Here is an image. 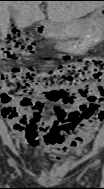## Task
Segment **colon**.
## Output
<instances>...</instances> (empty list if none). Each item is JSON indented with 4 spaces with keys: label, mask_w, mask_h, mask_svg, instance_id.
I'll return each mask as SVG.
<instances>
[{
    "label": "colon",
    "mask_w": 104,
    "mask_h": 189,
    "mask_svg": "<svg viewBox=\"0 0 104 189\" xmlns=\"http://www.w3.org/2000/svg\"><path fill=\"white\" fill-rule=\"evenodd\" d=\"M34 51L35 43L17 30L8 33L0 49L3 60L16 63L27 60ZM81 84H92L98 95L102 93L103 58L88 56L42 71L15 66L2 74L4 102L25 104L32 97L58 99L67 95L68 88Z\"/></svg>",
    "instance_id": "1"
}]
</instances>
